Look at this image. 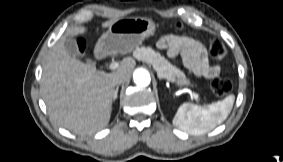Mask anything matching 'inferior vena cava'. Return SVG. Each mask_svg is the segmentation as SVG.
<instances>
[{
  "label": "inferior vena cava",
  "instance_id": "1",
  "mask_svg": "<svg viewBox=\"0 0 283 162\" xmlns=\"http://www.w3.org/2000/svg\"><path fill=\"white\" fill-rule=\"evenodd\" d=\"M125 81L124 76L122 75H117L113 78L112 82L115 86H119L120 84H122Z\"/></svg>",
  "mask_w": 283,
  "mask_h": 162
}]
</instances>
